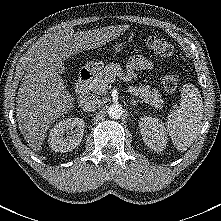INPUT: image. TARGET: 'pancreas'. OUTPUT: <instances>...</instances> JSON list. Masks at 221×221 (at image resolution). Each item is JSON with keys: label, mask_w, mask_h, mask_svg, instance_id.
<instances>
[{"label": "pancreas", "mask_w": 221, "mask_h": 221, "mask_svg": "<svg viewBox=\"0 0 221 221\" xmlns=\"http://www.w3.org/2000/svg\"><path fill=\"white\" fill-rule=\"evenodd\" d=\"M123 71L119 64L109 63L98 72L92 82L89 84V89L92 93L102 95L106 92L108 84L114 80L116 76H122ZM127 91L134 96H138L142 101L151 106L162 109L163 100L158 94V90L151 89L149 85L133 87L129 86Z\"/></svg>", "instance_id": "obj_1"}]
</instances>
